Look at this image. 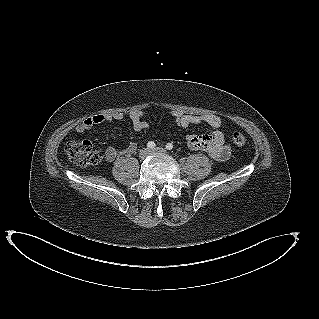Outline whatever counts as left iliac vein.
<instances>
[{
    "label": "left iliac vein",
    "instance_id": "left-iliac-vein-1",
    "mask_svg": "<svg viewBox=\"0 0 319 319\" xmlns=\"http://www.w3.org/2000/svg\"><path fill=\"white\" fill-rule=\"evenodd\" d=\"M151 153H164L166 152V150L162 147H157V148H154L153 150L150 151Z\"/></svg>",
    "mask_w": 319,
    "mask_h": 319
}]
</instances>
